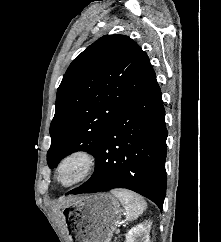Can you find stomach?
<instances>
[{
  "instance_id": "stomach-1",
  "label": "stomach",
  "mask_w": 221,
  "mask_h": 242,
  "mask_svg": "<svg viewBox=\"0 0 221 242\" xmlns=\"http://www.w3.org/2000/svg\"><path fill=\"white\" fill-rule=\"evenodd\" d=\"M66 209L71 242H110L121 219L119 201L109 193L77 197Z\"/></svg>"
}]
</instances>
